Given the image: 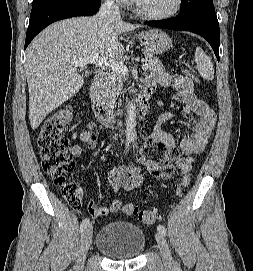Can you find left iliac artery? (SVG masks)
Listing matches in <instances>:
<instances>
[{
  "label": "left iliac artery",
  "instance_id": "obj_1",
  "mask_svg": "<svg viewBox=\"0 0 253 271\" xmlns=\"http://www.w3.org/2000/svg\"><path fill=\"white\" fill-rule=\"evenodd\" d=\"M157 230H158V232L159 233H161L162 235H166V229H165V227L163 226V225H161V224H159L158 226H157ZM176 270L177 271H181V269H180V267L178 266V264L176 263Z\"/></svg>",
  "mask_w": 253,
  "mask_h": 271
}]
</instances>
